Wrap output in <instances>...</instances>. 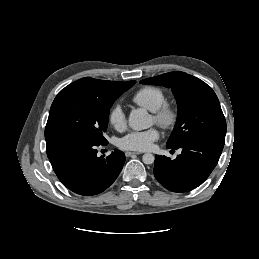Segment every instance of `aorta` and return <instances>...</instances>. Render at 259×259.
<instances>
[{
	"instance_id": "762f6f07",
	"label": "aorta",
	"mask_w": 259,
	"mask_h": 259,
	"mask_svg": "<svg viewBox=\"0 0 259 259\" xmlns=\"http://www.w3.org/2000/svg\"><path fill=\"white\" fill-rule=\"evenodd\" d=\"M129 126L136 131L148 129L152 126V117L148 114L145 109H134L129 115ZM155 157L151 153H145L142 157L144 164H152Z\"/></svg>"
}]
</instances>
